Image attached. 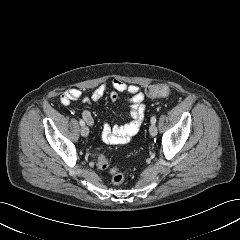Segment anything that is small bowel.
Segmentation results:
<instances>
[{
  "label": "small bowel",
  "mask_w": 240,
  "mask_h": 240,
  "mask_svg": "<svg viewBox=\"0 0 240 240\" xmlns=\"http://www.w3.org/2000/svg\"><path fill=\"white\" fill-rule=\"evenodd\" d=\"M119 93H126L128 95L131 120L121 126L104 124L101 131V138L108 144H123L130 141L137 134L144 119V94L137 85L127 84L122 80L113 79L110 88L106 85H102L94 90L90 97L83 96L79 89L71 88L61 95L60 102L63 105H68L71 101L80 99L82 102L90 104L92 101H96L106 94L110 96L113 102H116ZM82 118L87 125H94V118L89 110H84L82 112Z\"/></svg>",
  "instance_id": "small-bowel-1"
}]
</instances>
